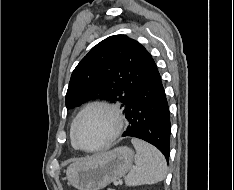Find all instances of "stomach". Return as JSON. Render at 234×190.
Returning <instances> with one entry per match:
<instances>
[{
	"label": "stomach",
	"instance_id": "1",
	"mask_svg": "<svg viewBox=\"0 0 234 190\" xmlns=\"http://www.w3.org/2000/svg\"><path fill=\"white\" fill-rule=\"evenodd\" d=\"M133 157L131 148L117 147L70 164L65 170L66 178L78 190H100L123 177L131 168Z\"/></svg>",
	"mask_w": 234,
	"mask_h": 190
}]
</instances>
